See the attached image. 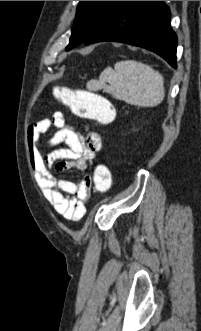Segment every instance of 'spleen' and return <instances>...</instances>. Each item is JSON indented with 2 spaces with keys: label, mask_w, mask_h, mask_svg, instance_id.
<instances>
[{
  "label": "spleen",
  "mask_w": 201,
  "mask_h": 331,
  "mask_svg": "<svg viewBox=\"0 0 201 331\" xmlns=\"http://www.w3.org/2000/svg\"><path fill=\"white\" fill-rule=\"evenodd\" d=\"M109 83V85H107ZM112 97L138 107H154L165 95L163 76L151 66L134 60L106 68L97 82Z\"/></svg>",
  "instance_id": "obj_1"
}]
</instances>
